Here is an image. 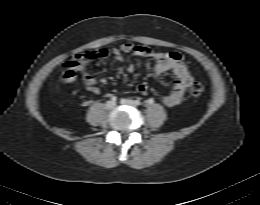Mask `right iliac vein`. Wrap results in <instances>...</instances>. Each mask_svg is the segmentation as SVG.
I'll use <instances>...</instances> for the list:
<instances>
[{"instance_id": "63e3f726", "label": "right iliac vein", "mask_w": 260, "mask_h": 205, "mask_svg": "<svg viewBox=\"0 0 260 205\" xmlns=\"http://www.w3.org/2000/svg\"><path fill=\"white\" fill-rule=\"evenodd\" d=\"M115 105H116L115 102L108 101L105 106H106L107 109H112V108L115 107Z\"/></svg>"}]
</instances>
